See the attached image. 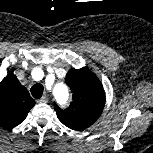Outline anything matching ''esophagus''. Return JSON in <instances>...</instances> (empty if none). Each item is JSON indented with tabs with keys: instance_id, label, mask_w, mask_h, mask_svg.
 <instances>
[{
	"instance_id": "esophagus-1",
	"label": "esophagus",
	"mask_w": 153,
	"mask_h": 153,
	"mask_svg": "<svg viewBox=\"0 0 153 153\" xmlns=\"http://www.w3.org/2000/svg\"><path fill=\"white\" fill-rule=\"evenodd\" d=\"M48 98L46 96H42L40 99L37 100V103H47Z\"/></svg>"
}]
</instances>
